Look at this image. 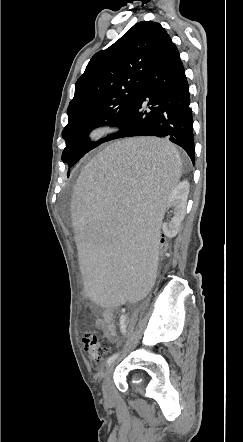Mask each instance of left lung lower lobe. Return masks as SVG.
<instances>
[{
  "label": "left lung lower lobe",
  "instance_id": "1",
  "mask_svg": "<svg viewBox=\"0 0 243 442\" xmlns=\"http://www.w3.org/2000/svg\"><path fill=\"white\" fill-rule=\"evenodd\" d=\"M118 127L120 131L104 142L133 136L166 138L182 147L194 163L189 85L171 38L147 73L135 107Z\"/></svg>",
  "mask_w": 243,
  "mask_h": 442
}]
</instances>
